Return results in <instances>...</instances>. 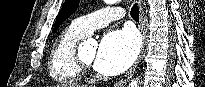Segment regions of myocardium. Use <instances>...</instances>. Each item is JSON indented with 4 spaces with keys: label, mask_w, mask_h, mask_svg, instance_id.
<instances>
[{
    "label": "myocardium",
    "mask_w": 205,
    "mask_h": 87,
    "mask_svg": "<svg viewBox=\"0 0 205 87\" xmlns=\"http://www.w3.org/2000/svg\"><path fill=\"white\" fill-rule=\"evenodd\" d=\"M75 60L82 74H89L92 72V66L82 59L78 50H75Z\"/></svg>",
    "instance_id": "f54148a6"
}]
</instances>
